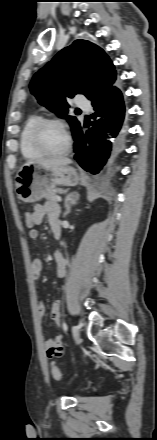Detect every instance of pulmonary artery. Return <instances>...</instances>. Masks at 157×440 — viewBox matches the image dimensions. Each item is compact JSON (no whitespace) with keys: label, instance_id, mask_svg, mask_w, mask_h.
<instances>
[{"label":"pulmonary artery","instance_id":"obj_1","mask_svg":"<svg viewBox=\"0 0 157 440\" xmlns=\"http://www.w3.org/2000/svg\"><path fill=\"white\" fill-rule=\"evenodd\" d=\"M75 103L77 106L84 108V109H90V104L88 100L83 95H78L76 97Z\"/></svg>","mask_w":157,"mask_h":440}]
</instances>
